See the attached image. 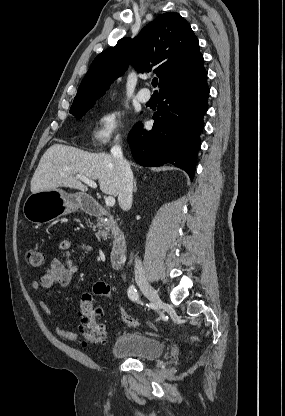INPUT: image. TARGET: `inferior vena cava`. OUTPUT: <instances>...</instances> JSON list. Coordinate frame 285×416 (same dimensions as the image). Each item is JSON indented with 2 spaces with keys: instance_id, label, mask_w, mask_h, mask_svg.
Returning a JSON list of instances; mask_svg holds the SVG:
<instances>
[{
  "instance_id": "inferior-vena-cava-1",
  "label": "inferior vena cava",
  "mask_w": 285,
  "mask_h": 416,
  "mask_svg": "<svg viewBox=\"0 0 285 416\" xmlns=\"http://www.w3.org/2000/svg\"><path fill=\"white\" fill-rule=\"evenodd\" d=\"M119 138L117 136L114 146L110 150L111 156L115 160L117 170L120 174L121 182L119 188L118 202L122 210H128L132 204L133 174L129 162L123 158L121 146H118ZM135 274H144L141 260H135Z\"/></svg>"
}]
</instances>
